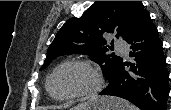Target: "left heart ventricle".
Returning a JSON list of instances; mask_svg holds the SVG:
<instances>
[{"instance_id":"obj_1","label":"left heart ventricle","mask_w":171,"mask_h":110,"mask_svg":"<svg viewBox=\"0 0 171 110\" xmlns=\"http://www.w3.org/2000/svg\"><path fill=\"white\" fill-rule=\"evenodd\" d=\"M94 84L92 73L78 65H70L60 69L51 81V91L57 97L68 96L84 91Z\"/></svg>"}]
</instances>
